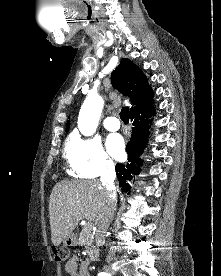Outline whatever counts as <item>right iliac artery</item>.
Returning <instances> with one entry per match:
<instances>
[{
    "label": "right iliac artery",
    "instance_id": "obj_1",
    "mask_svg": "<svg viewBox=\"0 0 221 276\" xmlns=\"http://www.w3.org/2000/svg\"><path fill=\"white\" fill-rule=\"evenodd\" d=\"M98 276H110V275L107 273H100Z\"/></svg>",
    "mask_w": 221,
    "mask_h": 276
}]
</instances>
